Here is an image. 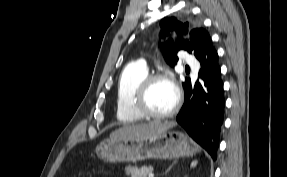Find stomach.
Here are the masks:
<instances>
[{
  "label": "stomach",
  "mask_w": 287,
  "mask_h": 177,
  "mask_svg": "<svg viewBox=\"0 0 287 177\" xmlns=\"http://www.w3.org/2000/svg\"><path fill=\"white\" fill-rule=\"evenodd\" d=\"M96 153L100 159L115 163L193 156L196 149L182 132L168 129L148 137L110 138L96 147Z\"/></svg>",
  "instance_id": "obj_1"
}]
</instances>
